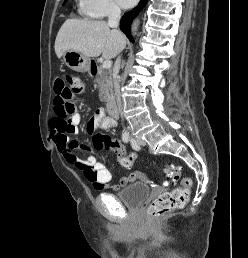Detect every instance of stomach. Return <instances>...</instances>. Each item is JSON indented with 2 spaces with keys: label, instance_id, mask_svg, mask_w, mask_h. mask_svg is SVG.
<instances>
[{
  "label": "stomach",
  "instance_id": "stomach-1",
  "mask_svg": "<svg viewBox=\"0 0 248 258\" xmlns=\"http://www.w3.org/2000/svg\"><path fill=\"white\" fill-rule=\"evenodd\" d=\"M64 63L74 71L87 72L91 69V60L76 51H66L63 54Z\"/></svg>",
  "mask_w": 248,
  "mask_h": 258
}]
</instances>
